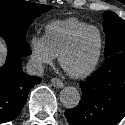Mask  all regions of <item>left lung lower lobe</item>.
I'll return each instance as SVG.
<instances>
[{"label":"left lung lower lobe","mask_w":125,"mask_h":125,"mask_svg":"<svg viewBox=\"0 0 125 125\" xmlns=\"http://www.w3.org/2000/svg\"><path fill=\"white\" fill-rule=\"evenodd\" d=\"M82 99L65 111L71 125H116L125 116V52L116 53L81 85Z\"/></svg>","instance_id":"left-lung-lower-lobe-1"}]
</instances>
